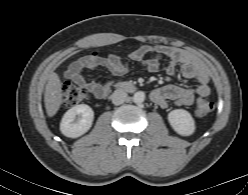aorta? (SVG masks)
Listing matches in <instances>:
<instances>
[{
	"mask_svg": "<svg viewBox=\"0 0 248 195\" xmlns=\"http://www.w3.org/2000/svg\"><path fill=\"white\" fill-rule=\"evenodd\" d=\"M145 100V93L142 91H138L133 95V101L136 104H140Z\"/></svg>",
	"mask_w": 248,
	"mask_h": 195,
	"instance_id": "aorta-1",
	"label": "aorta"
}]
</instances>
